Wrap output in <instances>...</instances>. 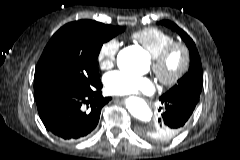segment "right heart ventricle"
Segmentation results:
<instances>
[{
    "label": "right heart ventricle",
    "instance_id": "obj_1",
    "mask_svg": "<svg viewBox=\"0 0 240 160\" xmlns=\"http://www.w3.org/2000/svg\"><path fill=\"white\" fill-rule=\"evenodd\" d=\"M131 37L140 43L152 56H156L168 44L173 42V37L169 33L153 27L138 30Z\"/></svg>",
    "mask_w": 240,
    "mask_h": 160
}]
</instances>
